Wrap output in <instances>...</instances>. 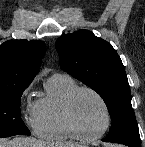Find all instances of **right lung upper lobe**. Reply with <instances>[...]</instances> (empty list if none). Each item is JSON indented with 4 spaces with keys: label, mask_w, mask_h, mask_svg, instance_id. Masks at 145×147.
Returning <instances> with one entry per match:
<instances>
[{
    "label": "right lung upper lobe",
    "mask_w": 145,
    "mask_h": 147,
    "mask_svg": "<svg viewBox=\"0 0 145 147\" xmlns=\"http://www.w3.org/2000/svg\"><path fill=\"white\" fill-rule=\"evenodd\" d=\"M45 49L42 41L4 42L0 46V92L28 86L38 72Z\"/></svg>",
    "instance_id": "cb5924a9"
}]
</instances>
